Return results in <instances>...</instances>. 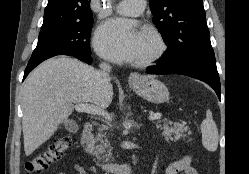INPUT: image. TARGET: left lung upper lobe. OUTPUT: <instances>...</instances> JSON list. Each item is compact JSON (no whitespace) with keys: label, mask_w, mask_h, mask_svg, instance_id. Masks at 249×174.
Here are the masks:
<instances>
[{"label":"left lung upper lobe","mask_w":249,"mask_h":174,"mask_svg":"<svg viewBox=\"0 0 249 174\" xmlns=\"http://www.w3.org/2000/svg\"><path fill=\"white\" fill-rule=\"evenodd\" d=\"M150 7L168 45L162 62L178 64L214 55L202 0H150Z\"/></svg>","instance_id":"5c2ea615"}]
</instances>
